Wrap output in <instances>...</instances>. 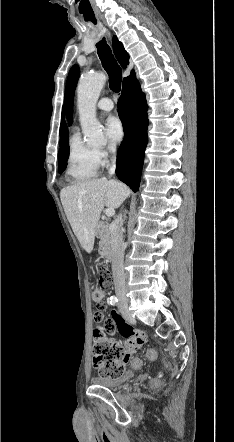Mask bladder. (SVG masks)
<instances>
[{"mask_svg": "<svg viewBox=\"0 0 234 442\" xmlns=\"http://www.w3.org/2000/svg\"><path fill=\"white\" fill-rule=\"evenodd\" d=\"M133 372L128 370L124 371L121 375L117 377H95L92 379L93 383L97 386L108 388V389H115L119 387L124 382L130 380L133 377Z\"/></svg>", "mask_w": 234, "mask_h": 442, "instance_id": "obj_1", "label": "bladder"}]
</instances>
